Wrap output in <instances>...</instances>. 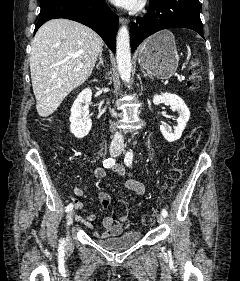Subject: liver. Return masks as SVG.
Here are the masks:
<instances>
[{
    "instance_id": "6515ba94",
    "label": "liver",
    "mask_w": 240,
    "mask_h": 281,
    "mask_svg": "<svg viewBox=\"0 0 240 281\" xmlns=\"http://www.w3.org/2000/svg\"><path fill=\"white\" fill-rule=\"evenodd\" d=\"M102 46L97 33L75 21L53 19L40 27L29 61L41 117L55 112L65 97L88 79Z\"/></svg>"
}]
</instances>
